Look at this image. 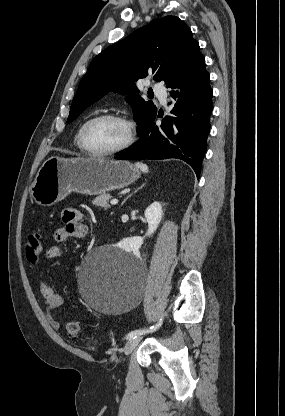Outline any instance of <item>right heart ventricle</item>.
I'll return each instance as SVG.
<instances>
[{"label":"right heart ventricle","instance_id":"right-heart-ventricle-1","mask_svg":"<svg viewBox=\"0 0 285 416\" xmlns=\"http://www.w3.org/2000/svg\"><path fill=\"white\" fill-rule=\"evenodd\" d=\"M81 127L79 128V130L77 131V133L75 134L74 137V144L77 147V149L82 150L80 144H79V132H80Z\"/></svg>","mask_w":285,"mask_h":416}]
</instances>
